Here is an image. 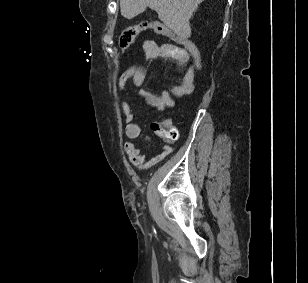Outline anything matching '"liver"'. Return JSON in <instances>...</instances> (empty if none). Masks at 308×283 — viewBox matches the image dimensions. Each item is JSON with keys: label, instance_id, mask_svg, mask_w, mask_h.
<instances>
[{"label": "liver", "instance_id": "6515ba94", "mask_svg": "<svg viewBox=\"0 0 308 283\" xmlns=\"http://www.w3.org/2000/svg\"><path fill=\"white\" fill-rule=\"evenodd\" d=\"M204 0H120L121 15L132 19L147 7L158 14V18L180 39L191 36L189 20Z\"/></svg>", "mask_w": 308, "mask_h": 283}]
</instances>
